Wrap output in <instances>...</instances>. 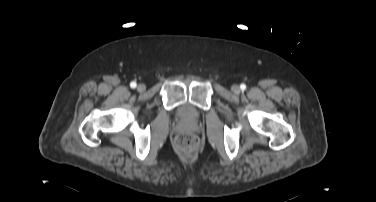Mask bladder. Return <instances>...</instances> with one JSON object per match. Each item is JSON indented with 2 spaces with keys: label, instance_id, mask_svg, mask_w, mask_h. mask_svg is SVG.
Listing matches in <instances>:
<instances>
[{
  "label": "bladder",
  "instance_id": "obj_1",
  "mask_svg": "<svg viewBox=\"0 0 376 202\" xmlns=\"http://www.w3.org/2000/svg\"><path fill=\"white\" fill-rule=\"evenodd\" d=\"M179 116L183 119L193 120L198 118V112L194 107L186 104L180 107Z\"/></svg>",
  "mask_w": 376,
  "mask_h": 202
}]
</instances>
